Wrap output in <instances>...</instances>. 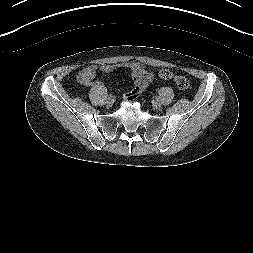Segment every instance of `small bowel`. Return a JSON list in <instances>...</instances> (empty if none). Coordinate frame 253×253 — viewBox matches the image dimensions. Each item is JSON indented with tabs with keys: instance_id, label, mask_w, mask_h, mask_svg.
Returning a JSON list of instances; mask_svg holds the SVG:
<instances>
[{
	"instance_id": "c3829d8e",
	"label": "small bowel",
	"mask_w": 253,
	"mask_h": 253,
	"mask_svg": "<svg viewBox=\"0 0 253 253\" xmlns=\"http://www.w3.org/2000/svg\"><path fill=\"white\" fill-rule=\"evenodd\" d=\"M123 67L129 70L133 79L142 78L146 81L147 84L152 80L154 76L153 72L149 71L145 66L136 62L125 63L123 64ZM113 69L114 66L108 64L87 66L79 72L78 81L82 85L88 86L93 82L98 71L108 73L113 71Z\"/></svg>"
}]
</instances>
